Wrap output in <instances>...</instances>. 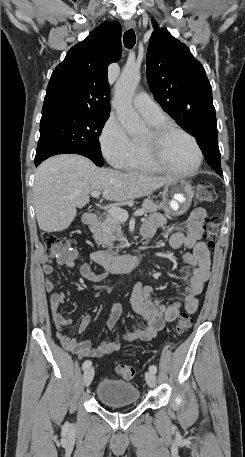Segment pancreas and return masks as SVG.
Masks as SVG:
<instances>
[{
	"label": "pancreas",
	"instance_id": "1",
	"mask_svg": "<svg viewBox=\"0 0 245 457\" xmlns=\"http://www.w3.org/2000/svg\"><path fill=\"white\" fill-rule=\"evenodd\" d=\"M142 208L144 212H157L160 208H164L162 204H157L152 198H144L142 202ZM122 220L107 214L104 220H98V222H92L89 229L93 233V239L97 243V247H103L107 249V253H118L119 249H123L124 245H119V247H112L113 241H121L123 243L124 237H122L121 231ZM116 249V251H113Z\"/></svg>",
	"mask_w": 245,
	"mask_h": 457
}]
</instances>
